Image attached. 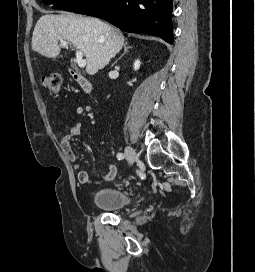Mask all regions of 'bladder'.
<instances>
[{"label": "bladder", "mask_w": 255, "mask_h": 272, "mask_svg": "<svg viewBox=\"0 0 255 272\" xmlns=\"http://www.w3.org/2000/svg\"><path fill=\"white\" fill-rule=\"evenodd\" d=\"M93 203L98 208L114 212L129 206L132 196L117 188H104L94 194Z\"/></svg>", "instance_id": "1"}]
</instances>
